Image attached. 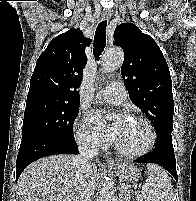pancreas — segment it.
I'll return each instance as SVG.
<instances>
[{"label":"pancreas","instance_id":"cf45deb5","mask_svg":"<svg viewBox=\"0 0 196 201\" xmlns=\"http://www.w3.org/2000/svg\"><path fill=\"white\" fill-rule=\"evenodd\" d=\"M130 191L129 190H122L120 194V201H129L130 199Z\"/></svg>","mask_w":196,"mask_h":201}]
</instances>
